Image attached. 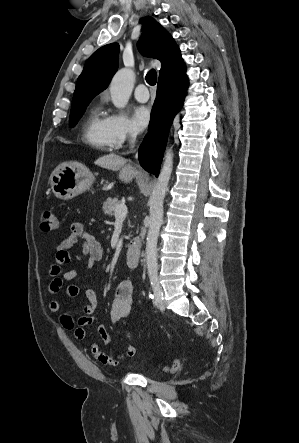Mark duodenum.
I'll use <instances>...</instances> for the list:
<instances>
[{"label": "duodenum", "mask_w": 299, "mask_h": 443, "mask_svg": "<svg viewBox=\"0 0 299 443\" xmlns=\"http://www.w3.org/2000/svg\"><path fill=\"white\" fill-rule=\"evenodd\" d=\"M141 249H142V243L141 239L136 237L133 238L127 248V263L131 267H136L140 261L141 257Z\"/></svg>", "instance_id": "410a0bca"}]
</instances>
